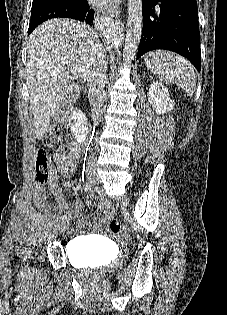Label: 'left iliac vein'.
Instances as JSON below:
<instances>
[{
  "label": "left iliac vein",
  "instance_id": "obj_1",
  "mask_svg": "<svg viewBox=\"0 0 227 315\" xmlns=\"http://www.w3.org/2000/svg\"><path fill=\"white\" fill-rule=\"evenodd\" d=\"M120 202L124 205V206H127L128 202H127V199L125 196H121L120 197Z\"/></svg>",
  "mask_w": 227,
  "mask_h": 315
}]
</instances>
